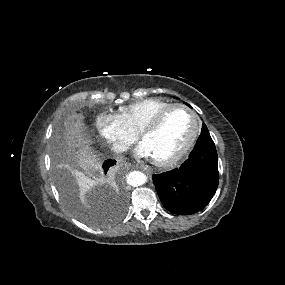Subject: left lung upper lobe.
Masks as SVG:
<instances>
[{
    "instance_id": "obj_1",
    "label": "left lung upper lobe",
    "mask_w": 285,
    "mask_h": 285,
    "mask_svg": "<svg viewBox=\"0 0 285 285\" xmlns=\"http://www.w3.org/2000/svg\"><path fill=\"white\" fill-rule=\"evenodd\" d=\"M187 105H188V104H187ZM188 106L190 107V105H188ZM207 131H208V129H207L206 125L203 124L202 133L207 132Z\"/></svg>"
}]
</instances>
